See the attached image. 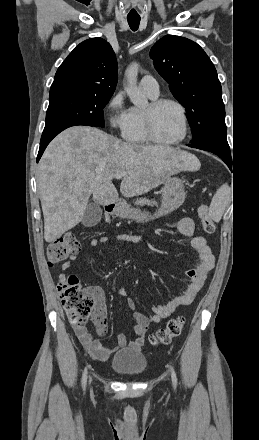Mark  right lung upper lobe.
Here are the masks:
<instances>
[{
	"mask_svg": "<svg viewBox=\"0 0 259 440\" xmlns=\"http://www.w3.org/2000/svg\"><path fill=\"white\" fill-rule=\"evenodd\" d=\"M117 79L112 47L102 38H91L80 43L60 65L50 95L71 91L113 94Z\"/></svg>",
	"mask_w": 259,
	"mask_h": 440,
	"instance_id": "obj_1",
	"label": "right lung upper lobe"
}]
</instances>
